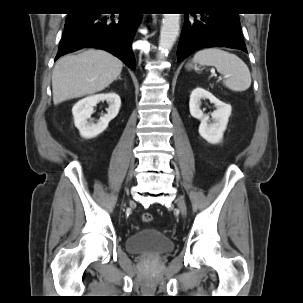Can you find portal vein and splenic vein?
Listing matches in <instances>:
<instances>
[{
    "mask_svg": "<svg viewBox=\"0 0 303 303\" xmlns=\"http://www.w3.org/2000/svg\"><path fill=\"white\" fill-rule=\"evenodd\" d=\"M211 72H212V75H214V76L216 75L215 72H214L213 70H212Z\"/></svg>",
    "mask_w": 303,
    "mask_h": 303,
    "instance_id": "18ae733b",
    "label": "portal vein and splenic vein"
}]
</instances>
